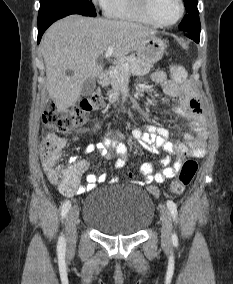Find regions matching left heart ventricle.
Segmentation results:
<instances>
[{
    "mask_svg": "<svg viewBox=\"0 0 233 284\" xmlns=\"http://www.w3.org/2000/svg\"><path fill=\"white\" fill-rule=\"evenodd\" d=\"M151 6L155 16L162 22L174 21L180 11L177 0H151Z\"/></svg>",
    "mask_w": 233,
    "mask_h": 284,
    "instance_id": "obj_1",
    "label": "left heart ventricle"
}]
</instances>
